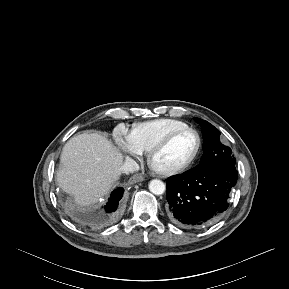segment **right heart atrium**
Instances as JSON below:
<instances>
[{
	"mask_svg": "<svg viewBox=\"0 0 289 289\" xmlns=\"http://www.w3.org/2000/svg\"><path fill=\"white\" fill-rule=\"evenodd\" d=\"M118 144L121 149L130 157L137 158L141 154L132 144L129 135L120 136L118 138Z\"/></svg>",
	"mask_w": 289,
	"mask_h": 289,
	"instance_id": "d8ad5b80",
	"label": "right heart atrium"
}]
</instances>
